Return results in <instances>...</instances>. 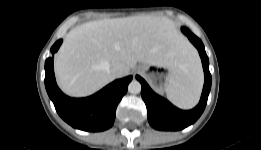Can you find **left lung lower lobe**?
I'll return each instance as SVG.
<instances>
[{
    "label": "left lung lower lobe",
    "instance_id": "left-lung-lower-lobe-1",
    "mask_svg": "<svg viewBox=\"0 0 261 150\" xmlns=\"http://www.w3.org/2000/svg\"><path fill=\"white\" fill-rule=\"evenodd\" d=\"M182 32L198 49L202 60L205 83L201 99L194 109L188 111L180 110L166 99L155 94L144 79L136 76L142 85L141 95L147 107L148 121L157 130L176 131L193 124L203 113L211 89L212 78L209 72V60L202 41L185 27H182Z\"/></svg>",
    "mask_w": 261,
    "mask_h": 150
}]
</instances>
